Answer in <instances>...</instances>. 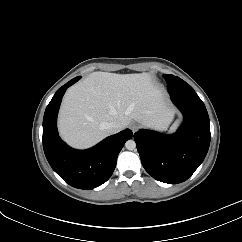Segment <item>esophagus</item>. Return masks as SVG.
<instances>
[{"mask_svg": "<svg viewBox=\"0 0 242 242\" xmlns=\"http://www.w3.org/2000/svg\"><path fill=\"white\" fill-rule=\"evenodd\" d=\"M131 129H132L133 133L137 131V127L136 126H132Z\"/></svg>", "mask_w": 242, "mask_h": 242, "instance_id": "1", "label": "esophagus"}]
</instances>
